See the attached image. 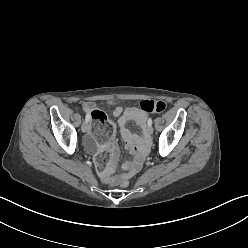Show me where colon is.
<instances>
[{"label":"colon","instance_id":"5ec220e1","mask_svg":"<svg viewBox=\"0 0 248 248\" xmlns=\"http://www.w3.org/2000/svg\"><path fill=\"white\" fill-rule=\"evenodd\" d=\"M139 108L146 113H162L166 110L167 104L163 101L148 99L141 101ZM90 119L93 122L94 144L96 148H98L94 153V168L105 178H108L113 170H109L111 153L106 148L116 131V127L115 124L108 119L106 114L99 109L92 110ZM118 182L122 188L129 186V180L126 176H121Z\"/></svg>","mask_w":248,"mask_h":248}]
</instances>
